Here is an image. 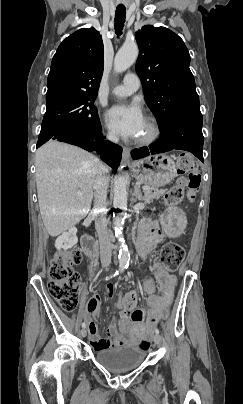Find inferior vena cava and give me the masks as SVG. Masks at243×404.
I'll return each instance as SVG.
<instances>
[{"label": "inferior vena cava", "mask_w": 243, "mask_h": 404, "mask_svg": "<svg viewBox=\"0 0 243 404\" xmlns=\"http://www.w3.org/2000/svg\"><path fill=\"white\" fill-rule=\"evenodd\" d=\"M108 140H111V142H114V144H118L119 142V138H117V136H112V134L111 136H108ZM108 172L109 170L107 166H103V164H100L98 176H96L94 184L95 192L93 212L94 214H96L95 230L99 238L100 260L102 264H111L112 256L111 242L107 230V220L105 218V214L107 212V190L109 186Z\"/></svg>", "instance_id": "inferior-vena-cava-1"}]
</instances>
